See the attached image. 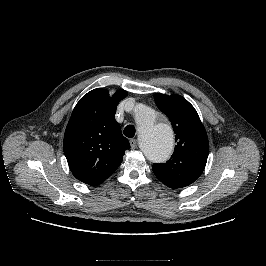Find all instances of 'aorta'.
Wrapping results in <instances>:
<instances>
[{
  "mask_svg": "<svg viewBox=\"0 0 266 266\" xmlns=\"http://www.w3.org/2000/svg\"><path fill=\"white\" fill-rule=\"evenodd\" d=\"M135 119L139 129V144L145 156L152 162H163L173 150L174 135L169 124L161 121L157 113L138 105Z\"/></svg>",
  "mask_w": 266,
  "mask_h": 266,
  "instance_id": "obj_1",
  "label": "aorta"
}]
</instances>
